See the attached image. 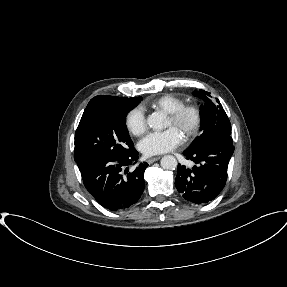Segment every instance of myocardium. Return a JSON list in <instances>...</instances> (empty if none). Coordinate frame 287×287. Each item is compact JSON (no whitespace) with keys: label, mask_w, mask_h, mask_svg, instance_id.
Listing matches in <instances>:
<instances>
[{"label":"myocardium","mask_w":287,"mask_h":287,"mask_svg":"<svg viewBox=\"0 0 287 287\" xmlns=\"http://www.w3.org/2000/svg\"><path fill=\"white\" fill-rule=\"evenodd\" d=\"M186 116L191 117V124L187 128L184 138L186 141L194 139L200 132L203 123V113L196 104H183L174 111L168 113V117L174 122H181Z\"/></svg>","instance_id":"obj_1"}]
</instances>
